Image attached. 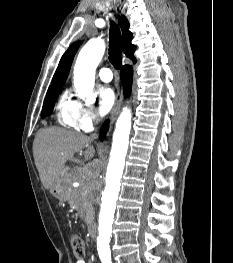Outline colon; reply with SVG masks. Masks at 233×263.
Instances as JSON below:
<instances>
[{
  "instance_id": "1",
  "label": "colon",
  "mask_w": 233,
  "mask_h": 263,
  "mask_svg": "<svg viewBox=\"0 0 233 263\" xmlns=\"http://www.w3.org/2000/svg\"><path fill=\"white\" fill-rule=\"evenodd\" d=\"M70 241L73 249L74 258L77 260L83 259L86 254V246L83 239L79 235L73 234L70 237Z\"/></svg>"
}]
</instances>
